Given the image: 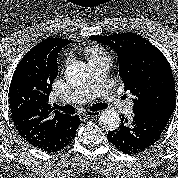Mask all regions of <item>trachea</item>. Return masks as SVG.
<instances>
[{"label":"trachea","instance_id":"obj_1","mask_svg":"<svg viewBox=\"0 0 178 178\" xmlns=\"http://www.w3.org/2000/svg\"><path fill=\"white\" fill-rule=\"evenodd\" d=\"M54 106H55L56 109L61 110V111L68 113V114H74L76 112L75 108L71 105H66V106L62 107V106H59L57 104H54ZM106 107H107L106 104H104V103L99 104L98 103V104L92 105L89 109H90V111L94 112V111L104 109Z\"/></svg>","mask_w":178,"mask_h":178}]
</instances>
